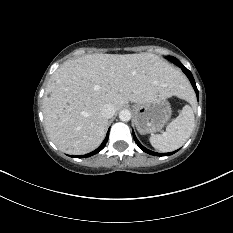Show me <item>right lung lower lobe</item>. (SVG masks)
<instances>
[{"label":"right lung lower lobe","mask_w":233,"mask_h":233,"mask_svg":"<svg viewBox=\"0 0 233 233\" xmlns=\"http://www.w3.org/2000/svg\"><path fill=\"white\" fill-rule=\"evenodd\" d=\"M108 136H109V131H108V133H107V135H106L104 141L102 142V144H101L96 150H94L93 152H90V153H88V154H86V155L77 156V157H78V158L89 157V156H92V155L97 154L98 152H100V151L105 147V145H106V143H107V140H108Z\"/></svg>","instance_id":"98d812e1"}]
</instances>
